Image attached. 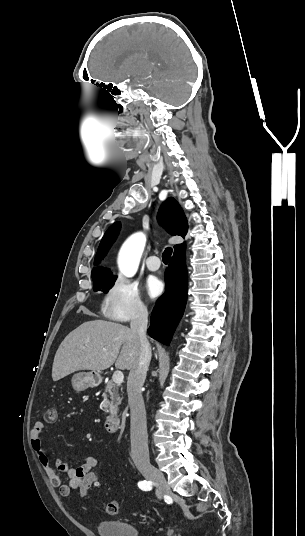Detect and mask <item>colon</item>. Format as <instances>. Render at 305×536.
Segmentation results:
<instances>
[{"label":"colon","mask_w":305,"mask_h":536,"mask_svg":"<svg viewBox=\"0 0 305 536\" xmlns=\"http://www.w3.org/2000/svg\"><path fill=\"white\" fill-rule=\"evenodd\" d=\"M56 416V410L55 408H49L45 411V419L47 421H53ZM84 480L81 484V495L83 497H86L88 495V491L91 489L92 485H95L96 483H99L101 481V476L99 474H92L88 473L85 475ZM120 505L119 502L116 500H111L106 505V512L108 514H117L119 512Z\"/></svg>","instance_id":"colon-1"}]
</instances>
